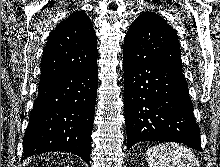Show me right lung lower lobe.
<instances>
[{"mask_svg": "<svg viewBox=\"0 0 220 167\" xmlns=\"http://www.w3.org/2000/svg\"><path fill=\"white\" fill-rule=\"evenodd\" d=\"M97 86V65L40 82L23 139L22 160L65 151L89 164Z\"/></svg>", "mask_w": 220, "mask_h": 167, "instance_id": "right-lung-lower-lobe-1", "label": "right lung lower lobe"}]
</instances>
